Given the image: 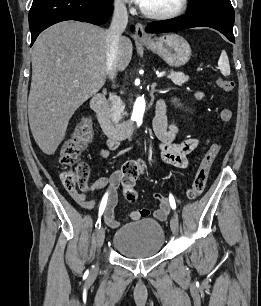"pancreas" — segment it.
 <instances>
[{
    "mask_svg": "<svg viewBox=\"0 0 261 306\" xmlns=\"http://www.w3.org/2000/svg\"><path fill=\"white\" fill-rule=\"evenodd\" d=\"M168 78L171 79V81L175 85H183L185 82L189 80V76L185 75L184 73L180 72H174L171 71L168 75ZM110 112L114 119L120 120L122 118V115L124 114V104L121 101L120 97L116 95H112L110 97Z\"/></svg>",
    "mask_w": 261,
    "mask_h": 306,
    "instance_id": "obj_1",
    "label": "pancreas"
}]
</instances>
